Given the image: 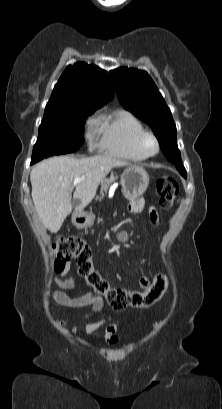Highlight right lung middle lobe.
Masks as SVG:
<instances>
[{"mask_svg": "<svg viewBox=\"0 0 222 409\" xmlns=\"http://www.w3.org/2000/svg\"><path fill=\"white\" fill-rule=\"evenodd\" d=\"M95 107L45 110L31 164L53 155L71 153L84 142V124Z\"/></svg>", "mask_w": 222, "mask_h": 409, "instance_id": "obj_1", "label": "right lung middle lobe"}]
</instances>
